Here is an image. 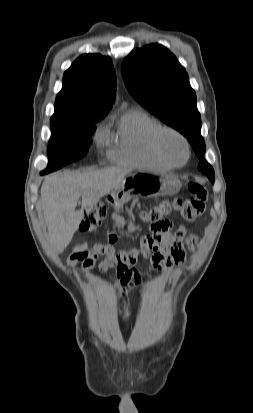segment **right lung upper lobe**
<instances>
[{
  "instance_id": "right-lung-upper-lobe-1",
  "label": "right lung upper lobe",
  "mask_w": 253,
  "mask_h": 413,
  "mask_svg": "<svg viewBox=\"0 0 253 413\" xmlns=\"http://www.w3.org/2000/svg\"><path fill=\"white\" fill-rule=\"evenodd\" d=\"M116 75L109 57L80 56L64 73L52 118L104 117L115 99Z\"/></svg>"
}]
</instances>
